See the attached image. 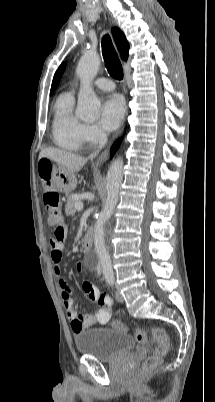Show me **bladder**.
Masks as SVG:
<instances>
[{
    "label": "bladder",
    "instance_id": "1",
    "mask_svg": "<svg viewBox=\"0 0 215 402\" xmlns=\"http://www.w3.org/2000/svg\"><path fill=\"white\" fill-rule=\"evenodd\" d=\"M74 342L78 352L101 362L114 361L135 347V340L131 335L109 328L79 331L74 335Z\"/></svg>",
    "mask_w": 215,
    "mask_h": 402
}]
</instances>
